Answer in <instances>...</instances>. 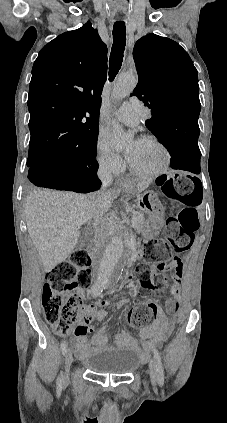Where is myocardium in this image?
I'll return each mask as SVG.
<instances>
[{
  "mask_svg": "<svg viewBox=\"0 0 227 423\" xmlns=\"http://www.w3.org/2000/svg\"><path fill=\"white\" fill-rule=\"evenodd\" d=\"M137 141L142 143H153L157 145L162 150L164 159L161 166L152 172H141L133 166L130 160H128L130 171L138 177L151 180L164 175L169 170L172 163V155L166 143L154 135L142 136Z\"/></svg>",
  "mask_w": 227,
  "mask_h": 423,
  "instance_id": "f54148a6",
  "label": "myocardium"
}]
</instances>
